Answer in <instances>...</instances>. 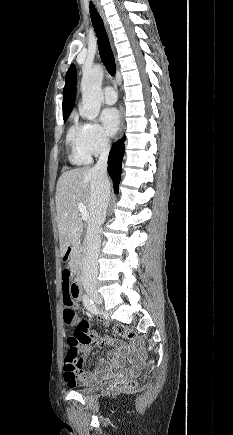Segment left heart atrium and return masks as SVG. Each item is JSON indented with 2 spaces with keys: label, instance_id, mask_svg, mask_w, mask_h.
Instances as JSON below:
<instances>
[{
  "label": "left heart atrium",
  "instance_id": "39dd6f15",
  "mask_svg": "<svg viewBox=\"0 0 233 435\" xmlns=\"http://www.w3.org/2000/svg\"><path fill=\"white\" fill-rule=\"evenodd\" d=\"M100 119L105 132L109 136L115 135L120 126V115L115 108H105L100 114Z\"/></svg>",
  "mask_w": 233,
  "mask_h": 435
}]
</instances>
